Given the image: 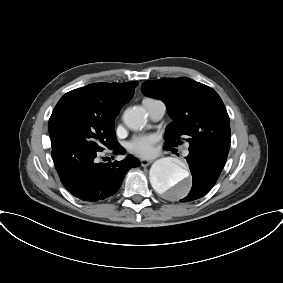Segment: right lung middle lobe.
Returning a JSON list of instances; mask_svg holds the SVG:
<instances>
[{
	"instance_id": "right-lung-middle-lobe-1",
	"label": "right lung middle lobe",
	"mask_w": 283,
	"mask_h": 283,
	"mask_svg": "<svg viewBox=\"0 0 283 283\" xmlns=\"http://www.w3.org/2000/svg\"><path fill=\"white\" fill-rule=\"evenodd\" d=\"M48 131L54 160H62L82 149L101 151L117 144L114 123L101 121L94 113L71 99L56 105Z\"/></svg>"
}]
</instances>
